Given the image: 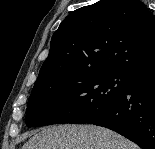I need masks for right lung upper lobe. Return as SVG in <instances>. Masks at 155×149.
I'll list each match as a JSON object with an SVG mask.
<instances>
[{
  "label": "right lung upper lobe",
  "mask_w": 155,
  "mask_h": 149,
  "mask_svg": "<svg viewBox=\"0 0 155 149\" xmlns=\"http://www.w3.org/2000/svg\"><path fill=\"white\" fill-rule=\"evenodd\" d=\"M153 70L154 15L140 0H100L61 22L36 83L64 73Z\"/></svg>",
  "instance_id": "obj_1"
}]
</instances>
